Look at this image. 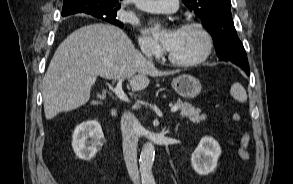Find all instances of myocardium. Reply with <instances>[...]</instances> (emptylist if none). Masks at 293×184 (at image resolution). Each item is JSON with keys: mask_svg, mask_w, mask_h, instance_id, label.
<instances>
[{"mask_svg": "<svg viewBox=\"0 0 293 184\" xmlns=\"http://www.w3.org/2000/svg\"><path fill=\"white\" fill-rule=\"evenodd\" d=\"M180 29H195L204 38V49L202 53L192 60H180L175 58L170 52L168 53V59L171 63L181 67H192L204 62L212 53L214 47V40L209 30L199 22H186Z\"/></svg>", "mask_w": 293, "mask_h": 184, "instance_id": "1", "label": "myocardium"}]
</instances>
